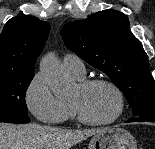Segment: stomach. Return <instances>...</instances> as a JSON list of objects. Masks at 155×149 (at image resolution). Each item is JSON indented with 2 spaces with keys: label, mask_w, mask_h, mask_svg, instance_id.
<instances>
[{
  "label": "stomach",
  "mask_w": 155,
  "mask_h": 149,
  "mask_svg": "<svg viewBox=\"0 0 155 149\" xmlns=\"http://www.w3.org/2000/svg\"><path fill=\"white\" fill-rule=\"evenodd\" d=\"M88 149H137V143L127 130L108 127L92 137Z\"/></svg>",
  "instance_id": "1"
}]
</instances>
